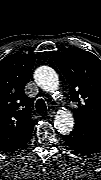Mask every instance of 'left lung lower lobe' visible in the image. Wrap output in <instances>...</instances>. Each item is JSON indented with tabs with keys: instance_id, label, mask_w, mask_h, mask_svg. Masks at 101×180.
<instances>
[{
	"instance_id": "left-lung-lower-lobe-1",
	"label": "left lung lower lobe",
	"mask_w": 101,
	"mask_h": 180,
	"mask_svg": "<svg viewBox=\"0 0 101 180\" xmlns=\"http://www.w3.org/2000/svg\"><path fill=\"white\" fill-rule=\"evenodd\" d=\"M63 140L76 153L89 155L99 149L101 131L89 126L75 125L69 134L63 135Z\"/></svg>"
}]
</instances>
